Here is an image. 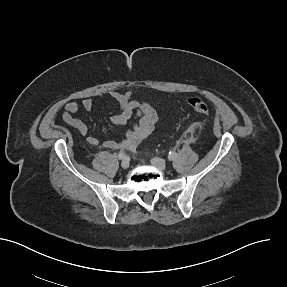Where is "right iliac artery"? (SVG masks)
Listing matches in <instances>:
<instances>
[{
    "label": "right iliac artery",
    "mask_w": 287,
    "mask_h": 287,
    "mask_svg": "<svg viewBox=\"0 0 287 287\" xmlns=\"http://www.w3.org/2000/svg\"><path fill=\"white\" fill-rule=\"evenodd\" d=\"M118 157H119V159H124V158L126 157V155H125L124 152H120V153L118 154Z\"/></svg>",
    "instance_id": "82829eb1"
}]
</instances>
